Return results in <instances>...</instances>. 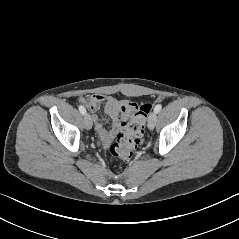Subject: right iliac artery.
<instances>
[{"label": "right iliac artery", "instance_id": "1", "mask_svg": "<svg viewBox=\"0 0 239 239\" xmlns=\"http://www.w3.org/2000/svg\"><path fill=\"white\" fill-rule=\"evenodd\" d=\"M79 111H80L81 114H83V115L86 114V109H85L82 105L79 106Z\"/></svg>", "mask_w": 239, "mask_h": 239}]
</instances>
